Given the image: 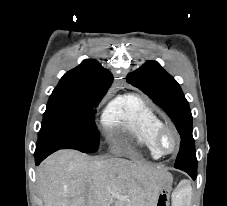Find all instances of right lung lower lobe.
I'll list each match as a JSON object with an SVG mask.
<instances>
[{"label": "right lung lower lobe", "instance_id": "right-lung-lower-lobe-1", "mask_svg": "<svg viewBox=\"0 0 227 206\" xmlns=\"http://www.w3.org/2000/svg\"><path fill=\"white\" fill-rule=\"evenodd\" d=\"M55 152L54 150H45L41 152H35V164L39 165L41 161H43L47 156H49L51 153Z\"/></svg>", "mask_w": 227, "mask_h": 206}]
</instances>
